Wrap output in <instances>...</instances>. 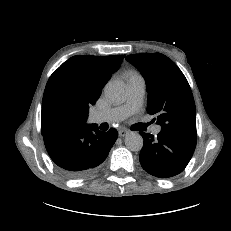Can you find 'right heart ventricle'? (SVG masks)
Masks as SVG:
<instances>
[{
  "label": "right heart ventricle",
  "mask_w": 231,
  "mask_h": 231,
  "mask_svg": "<svg viewBox=\"0 0 231 231\" xmlns=\"http://www.w3.org/2000/svg\"><path fill=\"white\" fill-rule=\"evenodd\" d=\"M128 81L130 80H136V79H142L141 75L138 74L137 72H128L127 73Z\"/></svg>",
  "instance_id": "e07e8e85"
}]
</instances>
